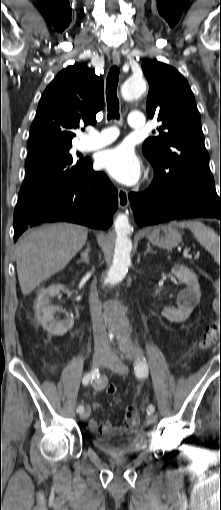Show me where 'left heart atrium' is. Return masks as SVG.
<instances>
[{"mask_svg": "<svg viewBox=\"0 0 221 510\" xmlns=\"http://www.w3.org/2000/svg\"><path fill=\"white\" fill-rule=\"evenodd\" d=\"M98 166L118 182L131 185L140 176V163L133 150L120 145L102 152L97 160Z\"/></svg>", "mask_w": 221, "mask_h": 510, "instance_id": "39dd6f15", "label": "left heart atrium"}]
</instances>
